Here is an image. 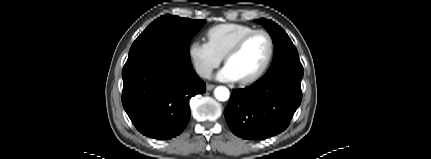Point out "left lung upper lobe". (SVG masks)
<instances>
[{
  "mask_svg": "<svg viewBox=\"0 0 431 159\" xmlns=\"http://www.w3.org/2000/svg\"><path fill=\"white\" fill-rule=\"evenodd\" d=\"M256 22L269 32L275 45L273 63L268 72L281 68L303 69L297 49L286 32L271 20L259 19Z\"/></svg>",
  "mask_w": 431,
  "mask_h": 159,
  "instance_id": "1",
  "label": "left lung upper lobe"
}]
</instances>
